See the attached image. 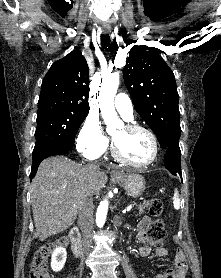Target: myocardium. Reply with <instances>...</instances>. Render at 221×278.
<instances>
[{"instance_id":"1","label":"myocardium","mask_w":221,"mask_h":278,"mask_svg":"<svg viewBox=\"0 0 221 278\" xmlns=\"http://www.w3.org/2000/svg\"><path fill=\"white\" fill-rule=\"evenodd\" d=\"M125 128L128 131H142L145 132L151 139L152 142V146H153V156L152 158L146 162V163H134L129 161L127 158H125L119 151L115 141L113 142L112 146H111V152L113 157L118 160L119 162L132 167V168H136V169H144L147 168L149 166H151L152 164H154L156 162V160L158 159L159 156V144H158V140L155 136V134L147 127L141 126V125H136V124H128L125 126Z\"/></svg>"}]
</instances>
